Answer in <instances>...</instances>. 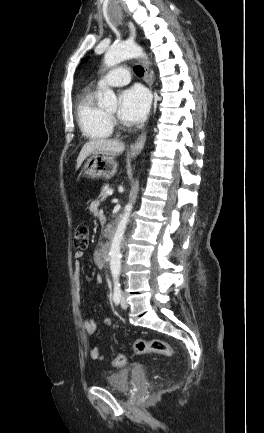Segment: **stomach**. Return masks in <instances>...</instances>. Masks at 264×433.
I'll return each instance as SVG.
<instances>
[{
    "label": "stomach",
    "instance_id": "1",
    "mask_svg": "<svg viewBox=\"0 0 264 433\" xmlns=\"http://www.w3.org/2000/svg\"><path fill=\"white\" fill-rule=\"evenodd\" d=\"M117 162L113 155L94 154L85 163L83 174L95 178H112L117 172Z\"/></svg>",
    "mask_w": 264,
    "mask_h": 433
}]
</instances>
